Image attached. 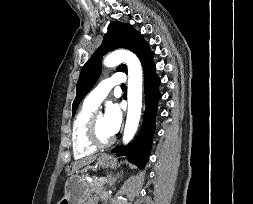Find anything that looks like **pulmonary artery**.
I'll return each mask as SVG.
<instances>
[{
  "instance_id": "pulmonary-artery-1",
  "label": "pulmonary artery",
  "mask_w": 253,
  "mask_h": 204,
  "mask_svg": "<svg viewBox=\"0 0 253 204\" xmlns=\"http://www.w3.org/2000/svg\"><path fill=\"white\" fill-rule=\"evenodd\" d=\"M125 81L126 77L124 73H114L111 77L103 79L99 85L87 95L84 100V105L96 109L106 98L112 87L120 86L124 84Z\"/></svg>"
}]
</instances>
